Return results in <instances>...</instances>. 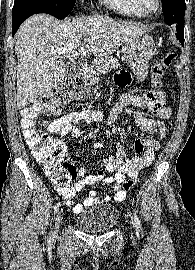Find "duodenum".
Instances as JSON below:
<instances>
[{"mask_svg": "<svg viewBox=\"0 0 195 270\" xmlns=\"http://www.w3.org/2000/svg\"><path fill=\"white\" fill-rule=\"evenodd\" d=\"M80 70L82 75L87 78H91L93 76V73L87 64H83Z\"/></svg>", "mask_w": 195, "mask_h": 270, "instance_id": "410a0bca", "label": "duodenum"}]
</instances>
